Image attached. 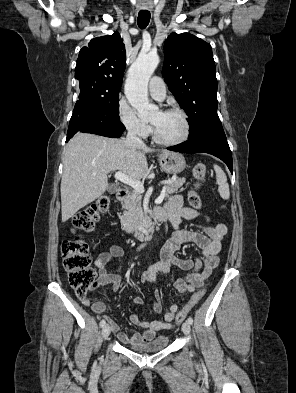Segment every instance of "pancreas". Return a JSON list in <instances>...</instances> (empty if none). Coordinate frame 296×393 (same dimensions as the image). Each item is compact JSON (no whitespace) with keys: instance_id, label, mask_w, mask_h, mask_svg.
<instances>
[{"instance_id":"cf45deb5","label":"pancreas","mask_w":296,"mask_h":393,"mask_svg":"<svg viewBox=\"0 0 296 393\" xmlns=\"http://www.w3.org/2000/svg\"><path fill=\"white\" fill-rule=\"evenodd\" d=\"M185 181V178L177 177L166 181L165 195L176 193ZM122 208L124 209L123 214L119 216L122 228L127 232H132L136 229L138 222L143 220L142 194L135 190L132 191L131 195L122 203Z\"/></svg>"}]
</instances>
